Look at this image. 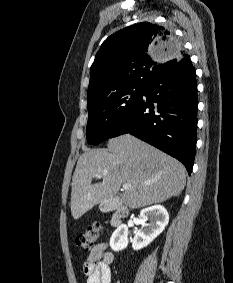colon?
<instances>
[{
	"mask_svg": "<svg viewBox=\"0 0 233 283\" xmlns=\"http://www.w3.org/2000/svg\"><path fill=\"white\" fill-rule=\"evenodd\" d=\"M99 235L100 225L93 223L77 236L76 244L85 250H90L95 246Z\"/></svg>",
	"mask_w": 233,
	"mask_h": 283,
	"instance_id": "colon-1",
	"label": "colon"
}]
</instances>
